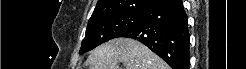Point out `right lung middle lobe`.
Segmentation results:
<instances>
[{
  "label": "right lung middle lobe",
  "mask_w": 246,
  "mask_h": 69,
  "mask_svg": "<svg viewBox=\"0 0 246 69\" xmlns=\"http://www.w3.org/2000/svg\"><path fill=\"white\" fill-rule=\"evenodd\" d=\"M141 20L142 14H118L89 21L80 53L119 37L124 31L138 25Z\"/></svg>",
  "instance_id": "1"
}]
</instances>
